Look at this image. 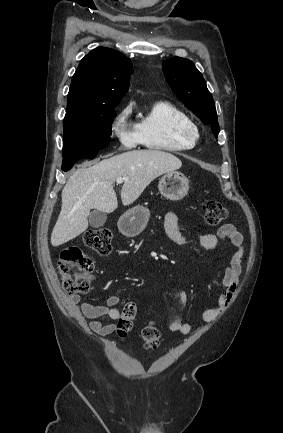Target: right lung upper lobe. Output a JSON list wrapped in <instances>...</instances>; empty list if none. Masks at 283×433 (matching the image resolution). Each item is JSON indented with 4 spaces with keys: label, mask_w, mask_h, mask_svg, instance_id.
Masks as SVG:
<instances>
[{
    "label": "right lung upper lobe",
    "mask_w": 283,
    "mask_h": 433,
    "mask_svg": "<svg viewBox=\"0 0 283 433\" xmlns=\"http://www.w3.org/2000/svg\"><path fill=\"white\" fill-rule=\"evenodd\" d=\"M132 63L122 53L98 47L86 55L72 77L67 109L115 105L127 93Z\"/></svg>",
    "instance_id": "1"
}]
</instances>
